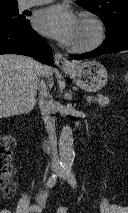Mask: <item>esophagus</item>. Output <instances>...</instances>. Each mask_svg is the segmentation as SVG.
Instances as JSON below:
<instances>
[{
	"label": "esophagus",
	"mask_w": 128,
	"mask_h": 213,
	"mask_svg": "<svg viewBox=\"0 0 128 213\" xmlns=\"http://www.w3.org/2000/svg\"><path fill=\"white\" fill-rule=\"evenodd\" d=\"M54 60L55 64L62 70H70L73 68L72 63L58 52L54 54Z\"/></svg>",
	"instance_id": "obj_1"
}]
</instances>
